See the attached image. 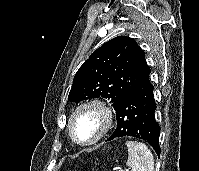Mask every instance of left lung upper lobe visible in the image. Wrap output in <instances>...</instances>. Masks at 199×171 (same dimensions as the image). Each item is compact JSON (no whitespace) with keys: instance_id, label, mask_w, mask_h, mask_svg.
<instances>
[{"instance_id":"1","label":"left lung upper lobe","mask_w":199,"mask_h":171,"mask_svg":"<svg viewBox=\"0 0 199 171\" xmlns=\"http://www.w3.org/2000/svg\"><path fill=\"white\" fill-rule=\"evenodd\" d=\"M150 71L136 41L118 36L94 51L77 71L68 99L110 98L116 110L123 98Z\"/></svg>"}]
</instances>
